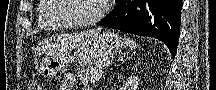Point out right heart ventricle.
Wrapping results in <instances>:
<instances>
[{"mask_svg": "<svg viewBox=\"0 0 216 90\" xmlns=\"http://www.w3.org/2000/svg\"><path fill=\"white\" fill-rule=\"evenodd\" d=\"M40 6H36V10H40L37 18V25L39 29H65L64 23L60 20H51L44 16H59V14H51V10L55 7H60L56 0H39Z\"/></svg>", "mask_w": 216, "mask_h": 90, "instance_id": "obj_1", "label": "right heart ventricle"}]
</instances>
